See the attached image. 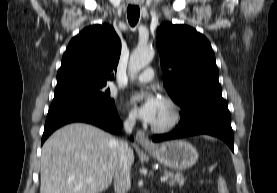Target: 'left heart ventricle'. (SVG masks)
<instances>
[{
	"mask_svg": "<svg viewBox=\"0 0 277 193\" xmlns=\"http://www.w3.org/2000/svg\"><path fill=\"white\" fill-rule=\"evenodd\" d=\"M170 115H171L170 107L165 102H162L159 112L157 114V117L153 122V124L165 123L170 118Z\"/></svg>",
	"mask_w": 277,
	"mask_h": 193,
	"instance_id": "left-heart-ventricle-1",
	"label": "left heart ventricle"
}]
</instances>
